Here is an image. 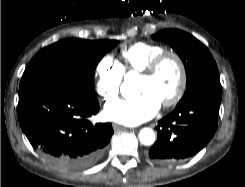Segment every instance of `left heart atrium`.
Instances as JSON below:
<instances>
[{
    "label": "left heart atrium",
    "mask_w": 245,
    "mask_h": 187,
    "mask_svg": "<svg viewBox=\"0 0 245 187\" xmlns=\"http://www.w3.org/2000/svg\"><path fill=\"white\" fill-rule=\"evenodd\" d=\"M161 107V102L150 92H143L134 100H122L106 105L105 119L135 126L150 120Z\"/></svg>",
    "instance_id": "left-heart-atrium-1"
}]
</instances>
